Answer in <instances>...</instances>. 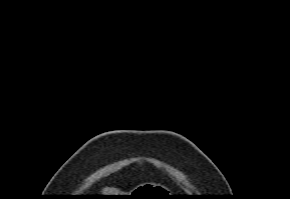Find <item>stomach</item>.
<instances>
[{
    "label": "stomach",
    "instance_id": "stomach-1",
    "mask_svg": "<svg viewBox=\"0 0 290 199\" xmlns=\"http://www.w3.org/2000/svg\"><path fill=\"white\" fill-rule=\"evenodd\" d=\"M145 187H146V190L143 191L142 189H144ZM157 188H162L163 190L166 189L162 186H159L158 184L145 183V184L141 185L140 187L136 188L135 190H133V192L131 194H127V195H134L136 192L145 193V195H153V193L155 192V189H157Z\"/></svg>",
    "mask_w": 290,
    "mask_h": 199
}]
</instances>
